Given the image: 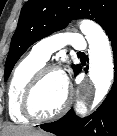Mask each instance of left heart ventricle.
Segmentation results:
<instances>
[{
  "label": "left heart ventricle",
  "instance_id": "left-heart-ventricle-1",
  "mask_svg": "<svg viewBox=\"0 0 117 136\" xmlns=\"http://www.w3.org/2000/svg\"><path fill=\"white\" fill-rule=\"evenodd\" d=\"M67 85L61 73L53 72L46 76L37 87L32 109L39 116H49L55 113L63 104L66 97Z\"/></svg>",
  "mask_w": 117,
  "mask_h": 136
}]
</instances>
